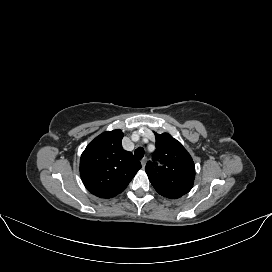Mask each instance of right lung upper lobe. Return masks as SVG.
I'll return each instance as SVG.
<instances>
[{"instance_id":"right-lung-upper-lobe-1","label":"right lung upper lobe","mask_w":272,"mask_h":272,"mask_svg":"<svg viewBox=\"0 0 272 272\" xmlns=\"http://www.w3.org/2000/svg\"><path fill=\"white\" fill-rule=\"evenodd\" d=\"M120 129L107 131L91 141L80 159V176L86 189L100 198L123 192L137 171L138 160L122 148Z\"/></svg>"}]
</instances>
